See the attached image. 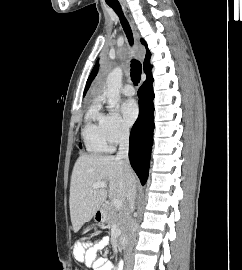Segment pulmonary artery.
Masks as SVG:
<instances>
[{
  "label": "pulmonary artery",
  "mask_w": 242,
  "mask_h": 270,
  "mask_svg": "<svg viewBox=\"0 0 242 270\" xmlns=\"http://www.w3.org/2000/svg\"><path fill=\"white\" fill-rule=\"evenodd\" d=\"M122 92L125 96L131 97L135 95V89L132 85H126L122 89Z\"/></svg>",
  "instance_id": "pulmonary-artery-1"
}]
</instances>
